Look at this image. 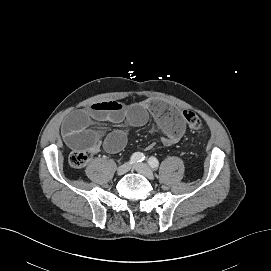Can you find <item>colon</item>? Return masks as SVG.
Listing matches in <instances>:
<instances>
[{
	"label": "colon",
	"mask_w": 271,
	"mask_h": 271,
	"mask_svg": "<svg viewBox=\"0 0 271 271\" xmlns=\"http://www.w3.org/2000/svg\"><path fill=\"white\" fill-rule=\"evenodd\" d=\"M182 116L190 129L198 132L203 131L202 121L194 112L190 110H184ZM90 158V152L78 150L71 153L69 162L75 168H83L88 163Z\"/></svg>",
	"instance_id": "5ec220e1"
}]
</instances>
